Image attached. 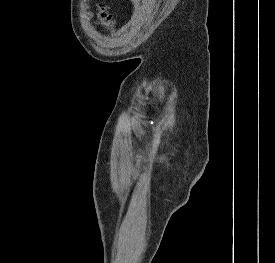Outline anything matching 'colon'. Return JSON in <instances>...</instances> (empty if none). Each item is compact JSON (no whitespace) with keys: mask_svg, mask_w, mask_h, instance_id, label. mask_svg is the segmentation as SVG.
<instances>
[{"mask_svg":"<svg viewBox=\"0 0 275 263\" xmlns=\"http://www.w3.org/2000/svg\"><path fill=\"white\" fill-rule=\"evenodd\" d=\"M99 18L102 21L103 27H110L112 24V16L105 7H102L99 11Z\"/></svg>","mask_w":275,"mask_h":263,"instance_id":"colon-1","label":"colon"}]
</instances>
